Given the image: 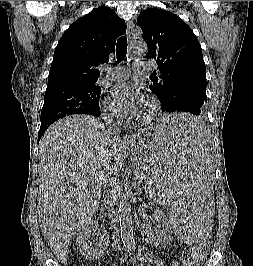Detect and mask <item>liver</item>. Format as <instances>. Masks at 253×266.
<instances>
[{
  "mask_svg": "<svg viewBox=\"0 0 253 266\" xmlns=\"http://www.w3.org/2000/svg\"><path fill=\"white\" fill-rule=\"evenodd\" d=\"M38 216L48 244L64 260L70 239L98 209L108 175H117L129 146L112 141L99 119L75 115L52 124L39 143Z\"/></svg>",
  "mask_w": 253,
  "mask_h": 266,
  "instance_id": "liver-1",
  "label": "liver"
}]
</instances>
